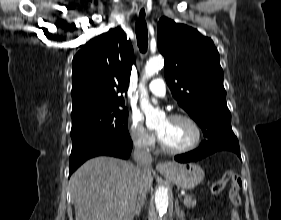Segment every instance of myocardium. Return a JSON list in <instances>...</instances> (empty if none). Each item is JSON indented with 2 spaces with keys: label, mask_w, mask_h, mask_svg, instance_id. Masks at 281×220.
Returning a JSON list of instances; mask_svg holds the SVG:
<instances>
[{
  "label": "myocardium",
  "mask_w": 281,
  "mask_h": 220,
  "mask_svg": "<svg viewBox=\"0 0 281 220\" xmlns=\"http://www.w3.org/2000/svg\"><path fill=\"white\" fill-rule=\"evenodd\" d=\"M168 119L169 120H183V121L188 122L194 129L195 138H194V141L189 146L184 147V148L174 149V148H170L167 145H165V143L159 137V144H160L161 150L164 151L165 153L173 154V155L184 154V153H188V152L195 150L201 143V138H202L201 129H200L199 124L196 122V120L193 119L192 117H190L189 115H185V114H173V115L169 116Z\"/></svg>",
  "instance_id": "obj_1"
}]
</instances>
